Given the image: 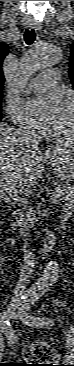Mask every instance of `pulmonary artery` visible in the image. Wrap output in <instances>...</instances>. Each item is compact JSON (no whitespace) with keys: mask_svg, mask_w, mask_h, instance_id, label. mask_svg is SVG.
<instances>
[{"mask_svg":"<svg viewBox=\"0 0 74 366\" xmlns=\"http://www.w3.org/2000/svg\"><path fill=\"white\" fill-rule=\"evenodd\" d=\"M59 81V71L49 69L43 71L35 77L29 84L30 88L36 92H43L54 88Z\"/></svg>","mask_w":74,"mask_h":366,"instance_id":"e3ab8cb5","label":"pulmonary artery"}]
</instances>
